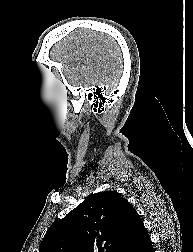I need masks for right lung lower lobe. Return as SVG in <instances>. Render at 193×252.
<instances>
[{
  "mask_svg": "<svg viewBox=\"0 0 193 252\" xmlns=\"http://www.w3.org/2000/svg\"><path fill=\"white\" fill-rule=\"evenodd\" d=\"M126 252H155L146 229L140 232L137 240Z\"/></svg>",
  "mask_w": 193,
  "mask_h": 252,
  "instance_id": "right-lung-lower-lobe-1",
  "label": "right lung lower lobe"
}]
</instances>
